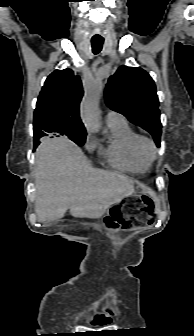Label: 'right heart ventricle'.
<instances>
[{
  "instance_id": "obj_1",
  "label": "right heart ventricle",
  "mask_w": 194,
  "mask_h": 336,
  "mask_svg": "<svg viewBox=\"0 0 194 336\" xmlns=\"http://www.w3.org/2000/svg\"><path fill=\"white\" fill-rule=\"evenodd\" d=\"M110 136L105 146H99L100 155L115 169L141 174L149 169L137 149L139 135L127 122L109 126Z\"/></svg>"
}]
</instances>
